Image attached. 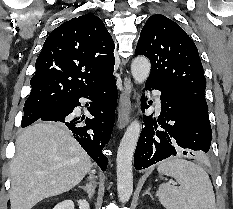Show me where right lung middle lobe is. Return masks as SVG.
Returning <instances> with one entry per match:
<instances>
[{"label":"right lung middle lobe","mask_w":233,"mask_h":209,"mask_svg":"<svg viewBox=\"0 0 233 209\" xmlns=\"http://www.w3.org/2000/svg\"><path fill=\"white\" fill-rule=\"evenodd\" d=\"M60 104L61 102L25 103L21 126L26 127L34 123L41 116Z\"/></svg>","instance_id":"obj_1"}]
</instances>
